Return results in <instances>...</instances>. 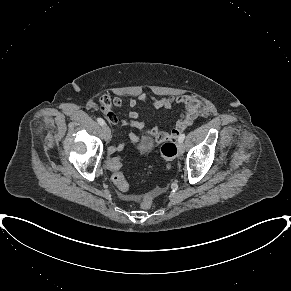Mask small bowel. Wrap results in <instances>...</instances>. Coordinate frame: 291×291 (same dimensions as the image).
Listing matches in <instances>:
<instances>
[{"instance_id":"small-bowel-1","label":"small bowel","mask_w":291,"mask_h":291,"mask_svg":"<svg viewBox=\"0 0 291 291\" xmlns=\"http://www.w3.org/2000/svg\"><path fill=\"white\" fill-rule=\"evenodd\" d=\"M100 109L105 114L107 119L113 123H119V119L112 110V107H121L122 99L120 97H109L108 95H102L99 98ZM150 103L154 108L161 110H169L172 106L176 104H181L185 107V112L182 117L177 121L176 126L170 132H165L160 130L158 127H154L150 131H144L145 122L140 118V114L134 110L137 104ZM129 111L128 118L122 119L120 122L123 125L129 126L132 129L142 130L146 134L155 137L161 142L174 141L177 139L179 134L185 130L187 127L192 125L195 119L204 111L203 103L193 95H182L177 98L172 97H162L157 98L152 95H148L145 92L139 93L136 97L131 98L128 102ZM128 138L136 143L139 141V136L133 132L127 133ZM124 148V143L113 144L108 148L110 155L120 152ZM126 199H134L132 195H125Z\"/></svg>"}]
</instances>
